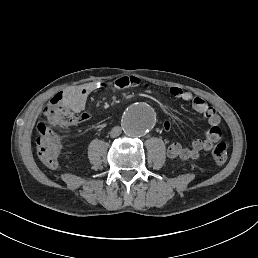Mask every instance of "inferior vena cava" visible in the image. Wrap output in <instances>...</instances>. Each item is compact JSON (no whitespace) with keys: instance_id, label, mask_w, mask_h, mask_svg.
Instances as JSON below:
<instances>
[{"instance_id":"1","label":"inferior vena cava","mask_w":258,"mask_h":258,"mask_svg":"<svg viewBox=\"0 0 258 258\" xmlns=\"http://www.w3.org/2000/svg\"><path fill=\"white\" fill-rule=\"evenodd\" d=\"M121 132H122V128L120 126H115L110 131V136L112 138L118 137L121 134Z\"/></svg>"}]
</instances>
